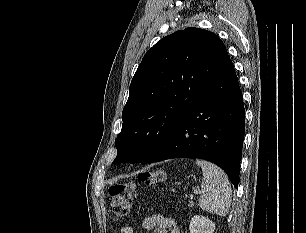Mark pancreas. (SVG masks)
Here are the masks:
<instances>
[{"label":"pancreas","instance_id":"pancreas-1","mask_svg":"<svg viewBox=\"0 0 306 233\" xmlns=\"http://www.w3.org/2000/svg\"><path fill=\"white\" fill-rule=\"evenodd\" d=\"M188 206H189V207H193V206H194V202H193V201H190Z\"/></svg>","mask_w":306,"mask_h":233}]
</instances>
